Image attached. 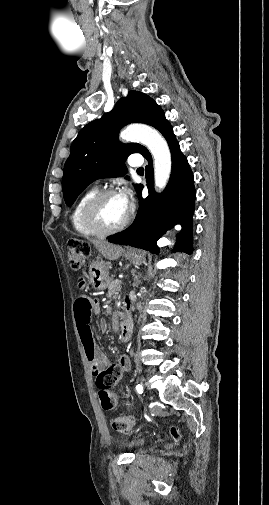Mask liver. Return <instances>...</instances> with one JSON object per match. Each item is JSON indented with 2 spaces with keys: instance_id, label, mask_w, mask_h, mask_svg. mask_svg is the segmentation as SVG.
Instances as JSON below:
<instances>
[{
  "instance_id": "1",
  "label": "liver",
  "mask_w": 269,
  "mask_h": 505,
  "mask_svg": "<svg viewBox=\"0 0 269 505\" xmlns=\"http://www.w3.org/2000/svg\"><path fill=\"white\" fill-rule=\"evenodd\" d=\"M91 243L100 251L102 256L108 260H116L124 252L121 246L110 244L106 241L92 239Z\"/></svg>"
}]
</instances>
